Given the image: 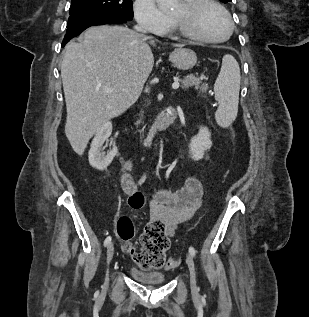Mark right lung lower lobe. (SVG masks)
<instances>
[{"label": "right lung lower lobe", "instance_id": "98d812e1", "mask_svg": "<svg viewBox=\"0 0 309 317\" xmlns=\"http://www.w3.org/2000/svg\"><path fill=\"white\" fill-rule=\"evenodd\" d=\"M121 23H126V20L111 15L98 13L70 15L67 24V34L62 42V47H64L71 38L78 36L82 31L90 26Z\"/></svg>", "mask_w": 309, "mask_h": 317}]
</instances>
